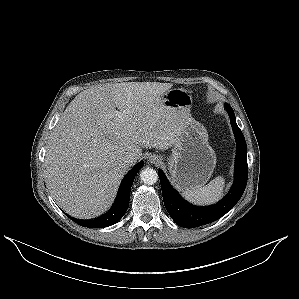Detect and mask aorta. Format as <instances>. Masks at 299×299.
<instances>
[{"label": "aorta", "mask_w": 299, "mask_h": 299, "mask_svg": "<svg viewBox=\"0 0 299 299\" xmlns=\"http://www.w3.org/2000/svg\"><path fill=\"white\" fill-rule=\"evenodd\" d=\"M140 179L146 185H153L158 181V173L153 168H145L140 173Z\"/></svg>", "instance_id": "762f6f07"}]
</instances>
